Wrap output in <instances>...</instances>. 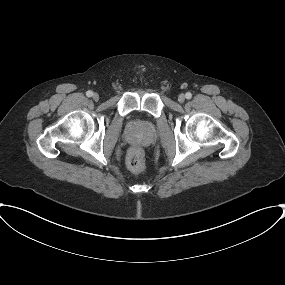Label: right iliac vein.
<instances>
[{"label": "right iliac vein", "instance_id": "right-iliac-vein-1", "mask_svg": "<svg viewBox=\"0 0 285 285\" xmlns=\"http://www.w3.org/2000/svg\"><path fill=\"white\" fill-rule=\"evenodd\" d=\"M92 98L95 100V101H98L99 100V95L97 93H94L92 95Z\"/></svg>", "mask_w": 285, "mask_h": 285}]
</instances>
